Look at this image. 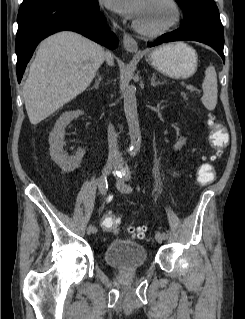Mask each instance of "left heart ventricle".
I'll list each match as a JSON object with an SVG mask.
<instances>
[{"label": "left heart ventricle", "instance_id": "obj_1", "mask_svg": "<svg viewBox=\"0 0 245 319\" xmlns=\"http://www.w3.org/2000/svg\"><path fill=\"white\" fill-rule=\"evenodd\" d=\"M172 18L173 11L165 0H146L136 21L145 27L157 28L167 24Z\"/></svg>", "mask_w": 245, "mask_h": 319}]
</instances>
